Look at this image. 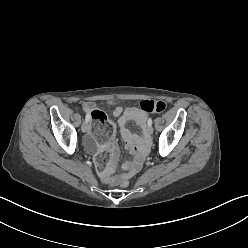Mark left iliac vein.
<instances>
[{"label": "left iliac vein", "mask_w": 248, "mask_h": 248, "mask_svg": "<svg viewBox=\"0 0 248 248\" xmlns=\"http://www.w3.org/2000/svg\"><path fill=\"white\" fill-rule=\"evenodd\" d=\"M147 133L150 135L153 133V127L151 125L147 127Z\"/></svg>", "instance_id": "obj_1"}]
</instances>
